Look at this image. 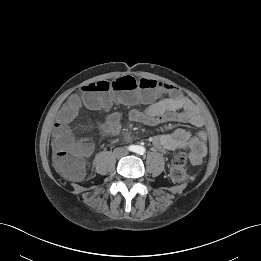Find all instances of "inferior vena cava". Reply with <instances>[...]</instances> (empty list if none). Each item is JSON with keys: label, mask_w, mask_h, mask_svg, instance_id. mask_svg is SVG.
<instances>
[{"label": "inferior vena cava", "mask_w": 261, "mask_h": 261, "mask_svg": "<svg viewBox=\"0 0 261 261\" xmlns=\"http://www.w3.org/2000/svg\"><path fill=\"white\" fill-rule=\"evenodd\" d=\"M122 152H123V155L128 154V151L126 149H123Z\"/></svg>", "instance_id": "1"}]
</instances>
